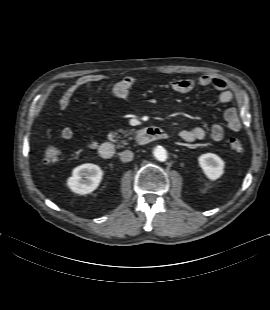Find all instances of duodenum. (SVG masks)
<instances>
[{"label": "duodenum", "mask_w": 270, "mask_h": 310, "mask_svg": "<svg viewBox=\"0 0 270 310\" xmlns=\"http://www.w3.org/2000/svg\"><path fill=\"white\" fill-rule=\"evenodd\" d=\"M168 137L167 131L159 127H146L140 129L135 134V140L138 144L144 145L155 140H161ZM99 155L103 159H110L115 155L116 148L113 142L105 141L99 146Z\"/></svg>", "instance_id": "duodenum-1"}]
</instances>
